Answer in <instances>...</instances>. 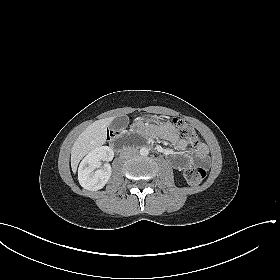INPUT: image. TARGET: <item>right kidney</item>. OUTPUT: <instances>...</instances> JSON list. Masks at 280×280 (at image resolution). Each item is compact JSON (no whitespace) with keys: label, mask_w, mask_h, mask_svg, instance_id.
Listing matches in <instances>:
<instances>
[{"label":"right kidney","mask_w":280,"mask_h":280,"mask_svg":"<svg viewBox=\"0 0 280 280\" xmlns=\"http://www.w3.org/2000/svg\"><path fill=\"white\" fill-rule=\"evenodd\" d=\"M114 152L108 146H100L91 150L81 161L78 168V180L80 185L87 190L97 191L108 182L112 170L108 163L97 169L101 161L109 162L113 159Z\"/></svg>","instance_id":"right-kidney-1"}]
</instances>
